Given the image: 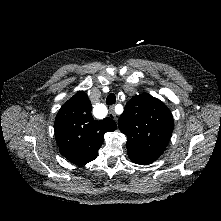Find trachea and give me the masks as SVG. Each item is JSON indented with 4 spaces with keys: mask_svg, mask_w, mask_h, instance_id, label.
<instances>
[{
    "mask_svg": "<svg viewBox=\"0 0 221 221\" xmlns=\"http://www.w3.org/2000/svg\"><path fill=\"white\" fill-rule=\"evenodd\" d=\"M115 102H116V95L114 93L109 94L106 98V104L112 105L115 104Z\"/></svg>",
    "mask_w": 221,
    "mask_h": 221,
    "instance_id": "trachea-1",
    "label": "trachea"
}]
</instances>
